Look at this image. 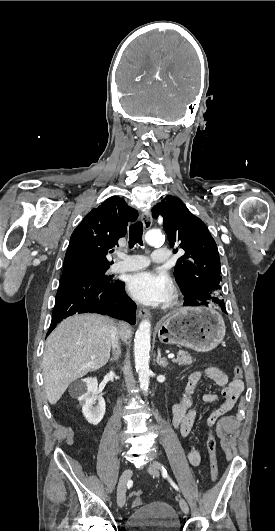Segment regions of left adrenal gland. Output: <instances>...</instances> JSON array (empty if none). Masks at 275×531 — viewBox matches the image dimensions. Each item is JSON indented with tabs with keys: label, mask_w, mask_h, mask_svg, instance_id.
Here are the masks:
<instances>
[{
	"label": "left adrenal gland",
	"mask_w": 275,
	"mask_h": 531,
	"mask_svg": "<svg viewBox=\"0 0 275 531\" xmlns=\"http://www.w3.org/2000/svg\"><path fill=\"white\" fill-rule=\"evenodd\" d=\"M157 353H158L157 359H156L157 365H160V367H167L168 365L167 359H165V357H161L160 349H158Z\"/></svg>",
	"instance_id": "left-adrenal-gland-1"
}]
</instances>
